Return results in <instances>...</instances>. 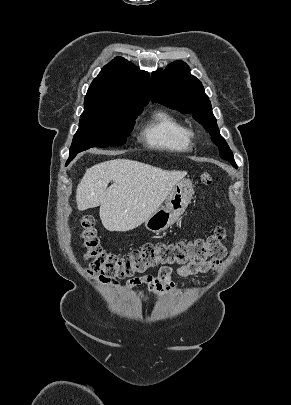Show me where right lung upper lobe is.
I'll use <instances>...</instances> for the list:
<instances>
[{"instance_id": "right-lung-upper-lobe-1", "label": "right lung upper lobe", "mask_w": 291, "mask_h": 405, "mask_svg": "<svg viewBox=\"0 0 291 405\" xmlns=\"http://www.w3.org/2000/svg\"><path fill=\"white\" fill-rule=\"evenodd\" d=\"M149 85L147 72L122 57H116L91 83L84 108H143L149 102Z\"/></svg>"}]
</instances>
